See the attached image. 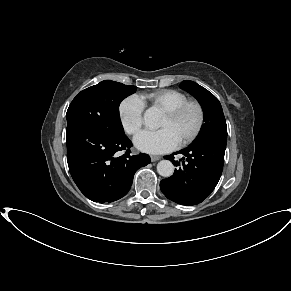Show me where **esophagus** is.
<instances>
[{
	"label": "esophagus",
	"mask_w": 291,
	"mask_h": 291,
	"mask_svg": "<svg viewBox=\"0 0 291 291\" xmlns=\"http://www.w3.org/2000/svg\"><path fill=\"white\" fill-rule=\"evenodd\" d=\"M160 159H161V156H158V155H152V156H151V161H152V162L158 161V160H160Z\"/></svg>",
	"instance_id": "1"
}]
</instances>
